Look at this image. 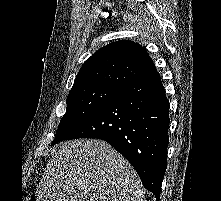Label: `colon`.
Returning a JSON list of instances; mask_svg holds the SVG:
<instances>
[{"label":"colon","instance_id":"5ec220e1","mask_svg":"<svg viewBox=\"0 0 221 201\" xmlns=\"http://www.w3.org/2000/svg\"><path fill=\"white\" fill-rule=\"evenodd\" d=\"M27 201H37V199L32 197V198H29Z\"/></svg>","mask_w":221,"mask_h":201}]
</instances>
